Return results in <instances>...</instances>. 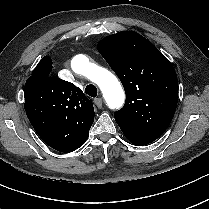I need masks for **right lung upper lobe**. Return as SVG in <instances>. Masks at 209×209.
<instances>
[{
	"instance_id": "right-lung-upper-lobe-1",
	"label": "right lung upper lobe",
	"mask_w": 209,
	"mask_h": 209,
	"mask_svg": "<svg viewBox=\"0 0 209 209\" xmlns=\"http://www.w3.org/2000/svg\"><path fill=\"white\" fill-rule=\"evenodd\" d=\"M52 61L45 56L25 83V111L35 130H51L71 151L88 138L94 121L92 102L73 83L50 75Z\"/></svg>"
}]
</instances>
